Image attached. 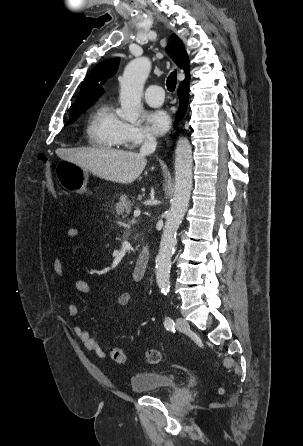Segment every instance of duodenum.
<instances>
[{"label":"duodenum","instance_id":"410a0bca","mask_svg":"<svg viewBox=\"0 0 303 446\" xmlns=\"http://www.w3.org/2000/svg\"><path fill=\"white\" fill-rule=\"evenodd\" d=\"M149 263H150V250L147 247H144L135 261V265L133 268L134 276L136 278H142L148 270Z\"/></svg>","mask_w":303,"mask_h":446}]
</instances>
